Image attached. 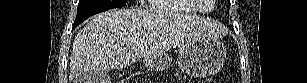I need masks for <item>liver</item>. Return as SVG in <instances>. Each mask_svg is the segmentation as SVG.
<instances>
[{
	"label": "liver",
	"instance_id": "1",
	"mask_svg": "<svg viewBox=\"0 0 307 83\" xmlns=\"http://www.w3.org/2000/svg\"><path fill=\"white\" fill-rule=\"evenodd\" d=\"M224 28L196 16L155 14L136 10H111L94 16L75 36L70 56V76L107 73L141 58L163 54L177 45L215 39Z\"/></svg>",
	"mask_w": 307,
	"mask_h": 83
}]
</instances>
